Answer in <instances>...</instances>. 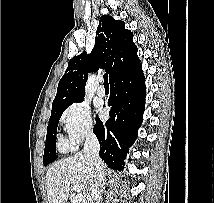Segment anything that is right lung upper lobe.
Instances as JSON below:
<instances>
[{
    "label": "right lung upper lobe",
    "mask_w": 214,
    "mask_h": 203,
    "mask_svg": "<svg viewBox=\"0 0 214 203\" xmlns=\"http://www.w3.org/2000/svg\"><path fill=\"white\" fill-rule=\"evenodd\" d=\"M124 25L111 16L100 17L92 52L89 55L83 52L69 61L59 81L51 113L84 98L89 70L105 68L111 82L140 63L133 33Z\"/></svg>",
    "instance_id": "right-lung-upper-lobe-1"
}]
</instances>
